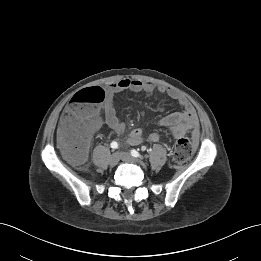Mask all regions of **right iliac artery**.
<instances>
[{
  "mask_svg": "<svg viewBox=\"0 0 261 261\" xmlns=\"http://www.w3.org/2000/svg\"><path fill=\"white\" fill-rule=\"evenodd\" d=\"M111 148H113V149L118 148V143L115 142V141H113V142L111 143Z\"/></svg>",
  "mask_w": 261,
  "mask_h": 261,
  "instance_id": "right-iliac-artery-1",
  "label": "right iliac artery"
}]
</instances>
